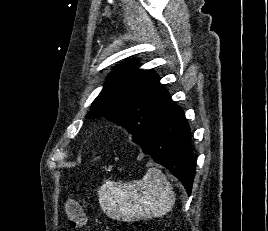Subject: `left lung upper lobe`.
<instances>
[{
  "label": "left lung upper lobe",
  "mask_w": 268,
  "mask_h": 231,
  "mask_svg": "<svg viewBox=\"0 0 268 231\" xmlns=\"http://www.w3.org/2000/svg\"><path fill=\"white\" fill-rule=\"evenodd\" d=\"M174 106L175 102L154 71L140 70L137 61L127 60L109 74L86 118L106 116L125 128L137 142Z\"/></svg>",
  "instance_id": "1"
}]
</instances>
